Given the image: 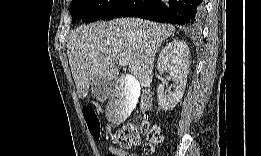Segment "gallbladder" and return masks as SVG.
Wrapping results in <instances>:
<instances>
[{
  "instance_id": "1",
  "label": "gallbladder",
  "mask_w": 261,
  "mask_h": 156,
  "mask_svg": "<svg viewBox=\"0 0 261 156\" xmlns=\"http://www.w3.org/2000/svg\"><path fill=\"white\" fill-rule=\"evenodd\" d=\"M119 83L109 98L106 109V117L113 124H121L127 120L129 114L136 108L138 98L140 96V80H136V77L130 74L121 75V78L117 80Z\"/></svg>"
}]
</instances>
